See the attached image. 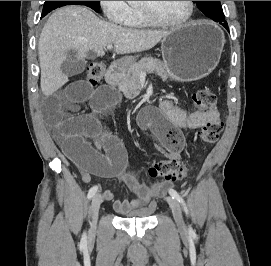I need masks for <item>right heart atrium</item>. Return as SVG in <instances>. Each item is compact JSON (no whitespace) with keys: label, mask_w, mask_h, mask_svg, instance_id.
Masks as SVG:
<instances>
[{"label":"right heart atrium","mask_w":271,"mask_h":266,"mask_svg":"<svg viewBox=\"0 0 271 266\" xmlns=\"http://www.w3.org/2000/svg\"><path fill=\"white\" fill-rule=\"evenodd\" d=\"M107 20L113 24H126L131 8L126 1H99Z\"/></svg>","instance_id":"right-heart-atrium-1"}]
</instances>
